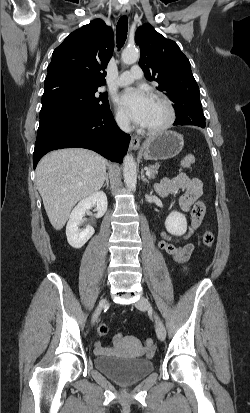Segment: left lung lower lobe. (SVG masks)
Instances as JSON below:
<instances>
[{
    "instance_id": "1",
    "label": "left lung lower lobe",
    "mask_w": 250,
    "mask_h": 413,
    "mask_svg": "<svg viewBox=\"0 0 250 413\" xmlns=\"http://www.w3.org/2000/svg\"><path fill=\"white\" fill-rule=\"evenodd\" d=\"M175 112L177 118L174 125H196L202 128L205 127V117L200 100L177 105Z\"/></svg>"
}]
</instances>
